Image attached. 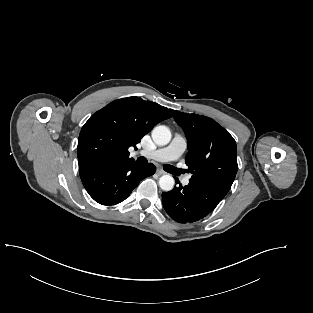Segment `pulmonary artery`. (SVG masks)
Masks as SVG:
<instances>
[{
    "mask_svg": "<svg viewBox=\"0 0 313 313\" xmlns=\"http://www.w3.org/2000/svg\"><path fill=\"white\" fill-rule=\"evenodd\" d=\"M186 146L185 139L180 135H175L168 146L153 151H142L141 153L142 155L157 161H174L184 153ZM189 182V177H185L182 180L183 185H188Z\"/></svg>",
    "mask_w": 313,
    "mask_h": 313,
    "instance_id": "obj_1",
    "label": "pulmonary artery"
}]
</instances>
